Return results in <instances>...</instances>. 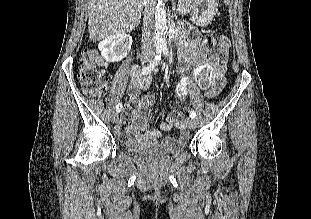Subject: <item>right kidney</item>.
Masks as SVG:
<instances>
[{"instance_id": "right-kidney-1", "label": "right kidney", "mask_w": 311, "mask_h": 219, "mask_svg": "<svg viewBox=\"0 0 311 219\" xmlns=\"http://www.w3.org/2000/svg\"><path fill=\"white\" fill-rule=\"evenodd\" d=\"M132 38L125 34H115L99 43L101 55L107 62H119L127 56L131 49Z\"/></svg>"}]
</instances>
